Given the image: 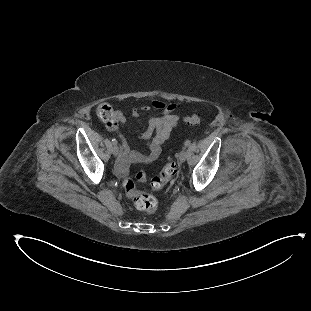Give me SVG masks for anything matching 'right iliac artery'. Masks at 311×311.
<instances>
[{
  "label": "right iliac artery",
  "mask_w": 311,
  "mask_h": 311,
  "mask_svg": "<svg viewBox=\"0 0 311 311\" xmlns=\"http://www.w3.org/2000/svg\"><path fill=\"white\" fill-rule=\"evenodd\" d=\"M112 143H113L114 145H116V144H117V140H116L115 138H113V139H112Z\"/></svg>",
  "instance_id": "1"
}]
</instances>
